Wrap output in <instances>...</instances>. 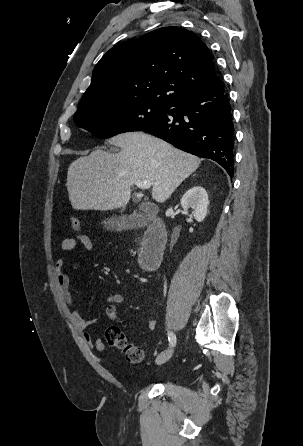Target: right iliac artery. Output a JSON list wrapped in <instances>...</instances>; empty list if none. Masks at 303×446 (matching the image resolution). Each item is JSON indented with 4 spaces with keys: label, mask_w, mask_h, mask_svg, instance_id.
I'll return each instance as SVG.
<instances>
[{
    "label": "right iliac artery",
    "mask_w": 303,
    "mask_h": 446,
    "mask_svg": "<svg viewBox=\"0 0 303 446\" xmlns=\"http://www.w3.org/2000/svg\"><path fill=\"white\" fill-rule=\"evenodd\" d=\"M168 339H169V344L170 347L175 346L176 344V336L173 332H168Z\"/></svg>",
    "instance_id": "82829eb1"
}]
</instances>
